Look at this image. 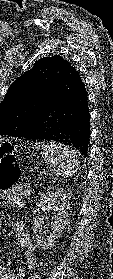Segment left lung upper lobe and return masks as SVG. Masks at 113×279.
<instances>
[{"instance_id":"1","label":"left lung upper lobe","mask_w":113,"mask_h":279,"mask_svg":"<svg viewBox=\"0 0 113 279\" xmlns=\"http://www.w3.org/2000/svg\"><path fill=\"white\" fill-rule=\"evenodd\" d=\"M68 64L60 55L41 58L11 84L0 104V134L20 136L38 102L50 92Z\"/></svg>"}]
</instances>
